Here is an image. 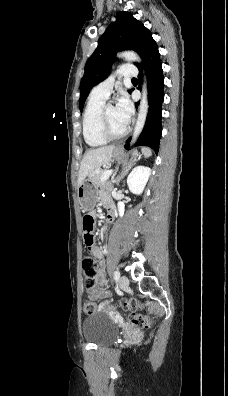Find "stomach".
I'll return each instance as SVG.
<instances>
[{
    "label": "stomach",
    "instance_id": "0dacf381",
    "mask_svg": "<svg viewBox=\"0 0 228 396\" xmlns=\"http://www.w3.org/2000/svg\"><path fill=\"white\" fill-rule=\"evenodd\" d=\"M134 155H137V152H134ZM113 156L120 158L122 151L115 149ZM77 197L81 208L85 211H91L97 202V187L91 183L90 179L84 180L77 188Z\"/></svg>",
    "mask_w": 228,
    "mask_h": 396
}]
</instances>
